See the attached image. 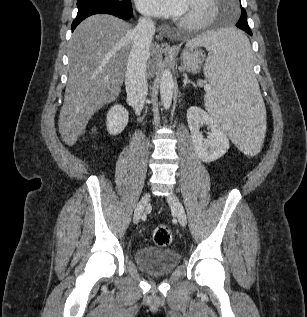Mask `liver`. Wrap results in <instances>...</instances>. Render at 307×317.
<instances>
[{
	"label": "liver",
	"instance_id": "obj_1",
	"mask_svg": "<svg viewBox=\"0 0 307 317\" xmlns=\"http://www.w3.org/2000/svg\"><path fill=\"white\" fill-rule=\"evenodd\" d=\"M132 26L111 15H94L81 22L72 34L68 57L69 77L58 128L71 146L104 104L121 91L133 45ZM158 60L152 47L148 58L151 75Z\"/></svg>",
	"mask_w": 307,
	"mask_h": 317
}]
</instances>
